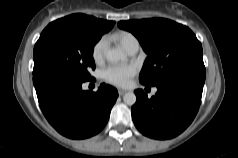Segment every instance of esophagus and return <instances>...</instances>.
I'll return each mask as SVG.
<instances>
[{
  "instance_id": "1",
  "label": "esophagus",
  "mask_w": 238,
  "mask_h": 158,
  "mask_svg": "<svg viewBox=\"0 0 238 158\" xmlns=\"http://www.w3.org/2000/svg\"><path fill=\"white\" fill-rule=\"evenodd\" d=\"M125 93H126L125 90H118V94H119L120 96H123Z\"/></svg>"
}]
</instances>
